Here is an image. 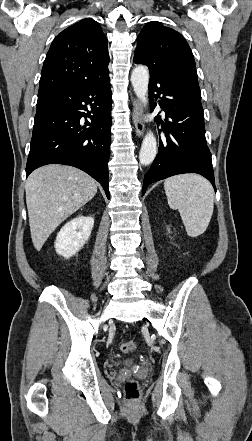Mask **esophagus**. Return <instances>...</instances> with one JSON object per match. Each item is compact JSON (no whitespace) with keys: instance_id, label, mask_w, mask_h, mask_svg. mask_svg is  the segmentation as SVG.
<instances>
[{"instance_id":"1","label":"esophagus","mask_w":252,"mask_h":441,"mask_svg":"<svg viewBox=\"0 0 252 441\" xmlns=\"http://www.w3.org/2000/svg\"><path fill=\"white\" fill-rule=\"evenodd\" d=\"M133 123L137 136L141 137L144 133V123L142 120V107L137 99H133Z\"/></svg>"}]
</instances>
